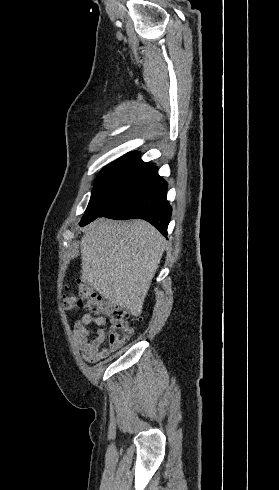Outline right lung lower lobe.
I'll use <instances>...</instances> for the list:
<instances>
[{
  "label": "right lung lower lobe",
  "instance_id": "1",
  "mask_svg": "<svg viewBox=\"0 0 279 490\" xmlns=\"http://www.w3.org/2000/svg\"><path fill=\"white\" fill-rule=\"evenodd\" d=\"M167 188V182L158 174L147 182L123 188L106 201L104 210L98 217L116 220L144 219L167 236L172 212L167 201Z\"/></svg>",
  "mask_w": 279,
  "mask_h": 490
}]
</instances>
